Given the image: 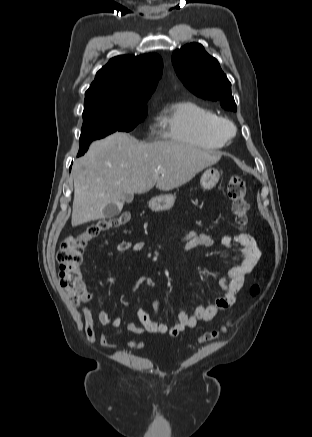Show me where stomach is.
Masks as SVG:
<instances>
[{
  "label": "stomach",
  "instance_id": "1",
  "mask_svg": "<svg viewBox=\"0 0 312 437\" xmlns=\"http://www.w3.org/2000/svg\"><path fill=\"white\" fill-rule=\"evenodd\" d=\"M219 178L220 172L217 169L208 168L201 176V186L204 190H211L216 186ZM175 199L176 197L173 194L159 195L149 201V207L156 212L168 211L174 206Z\"/></svg>",
  "mask_w": 312,
  "mask_h": 437
}]
</instances>
